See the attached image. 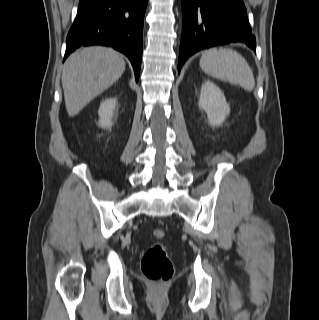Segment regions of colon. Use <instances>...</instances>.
Segmentation results:
<instances>
[{"instance_id": "colon-1", "label": "colon", "mask_w": 319, "mask_h": 320, "mask_svg": "<svg viewBox=\"0 0 319 320\" xmlns=\"http://www.w3.org/2000/svg\"><path fill=\"white\" fill-rule=\"evenodd\" d=\"M152 236L162 240L165 232L162 229H155ZM141 270L144 277L154 283L165 282L172 277L174 266L164 244L155 243L145 251L141 260Z\"/></svg>"}]
</instances>
